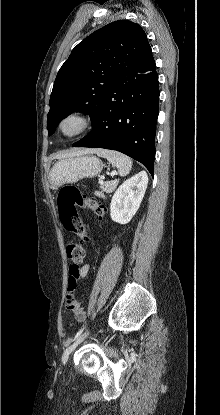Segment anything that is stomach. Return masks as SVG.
Instances as JSON below:
<instances>
[{
	"instance_id": "0dacf381",
	"label": "stomach",
	"mask_w": 220,
	"mask_h": 415,
	"mask_svg": "<svg viewBox=\"0 0 220 415\" xmlns=\"http://www.w3.org/2000/svg\"><path fill=\"white\" fill-rule=\"evenodd\" d=\"M103 169V163L93 155L68 157L58 161L52 168L49 179L54 187L65 183H74L83 178L97 176Z\"/></svg>"
}]
</instances>
